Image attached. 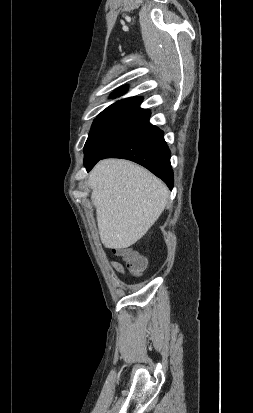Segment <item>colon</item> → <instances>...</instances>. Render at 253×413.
Returning <instances> with one entry per match:
<instances>
[{"mask_svg":"<svg viewBox=\"0 0 253 413\" xmlns=\"http://www.w3.org/2000/svg\"><path fill=\"white\" fill-rule=\"evenodd\" d=\"M114 253L122 256V258L125 260L127 268L129 271L136 275L140 276L144 272L146 268V261L145 259L140 256L138 253L130 250V249H113L112 250Z\"/></svg>","mask_w":253,"mask_h":413,"instance_id":"1","label":"colon"}]
</instances>
